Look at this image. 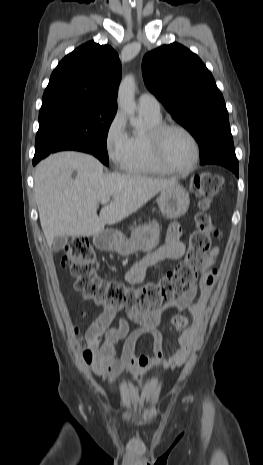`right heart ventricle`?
<instances>
[{"label": "right heart ventricle", "instance_id": "right-heart-ventricle-1", "mask_svg": "<svg viewBox=\"0 0 263 465\" xmlns=\"http://www.w3.org/2000/svg\"><path fill=\"white\" fill-rule=\"evenodd\" d=\"M148 126L145 133H134L130 136L129 155L125 170L132 174H164L154 161L147 134L150 129L162 123L161 117L142 114Z\"/></svg>", "mask_w": 263, "mask_h": 465}]
</instances>
